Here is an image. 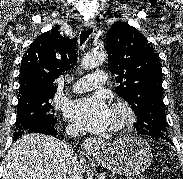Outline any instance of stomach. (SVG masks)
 Masks as SVG:
<instances>
[{"instance_id": "obj_1", "label": "stomach", "mask_w": 183, "mask_h": 179, "mask_svg": "<svg viewBox=\"0 0 183 179\" xmlns=\"http://www.w3.org/2000/svg\"><path fill=\"white\" fill-rule=\"evenodd\" d=\"M95 159L111 172L134 176L144 172L151 164L153 155L149 144L140 137L120 138L113 144L100 146Z\"/></svg>"}]
</instances>
